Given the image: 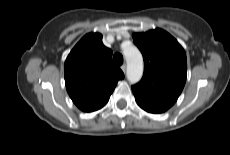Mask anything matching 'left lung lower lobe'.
Segmentation results:
<instances>
[{
    "label": "left lung lower lobe",
    "mask_w": 230,
    "mask_h": 155,
    "mask_svg": "<svg viewBox=\"0 0 230 155\" xmlns=\"http://www.w3.org/2000/svg\"><path fill=\"white\" fill-rule=\"evenodd\" d=\"M135 99H136L137 104L143 110H145L149 113H163L169 109L168 107H166L162 104H159V103H156V102L144 99V98L135 97Z\"/></svg>",
    "instance_id": "0a47b994"
}]
</instances>
